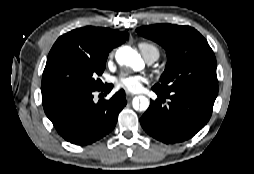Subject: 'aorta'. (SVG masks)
<instances>
[{"label":"aorta","mask_w":254,"mask_h":174,"mask_svg":"<svg viewBox=\"0 0 254 174\" xmlns=\"http://www.w3.org/2000/svg\"><path fill=\"white\" fill-rule=\"evenodd\" d=\"M115 58L120 65L130 66L133 69H138L142 65L140 55L128 46L119 48ZM132 104L135 110L145 111L149 107V100L145 96H139L133 99Z\"/></svg>","instance_id":"aorta-1"}]
</instances>
